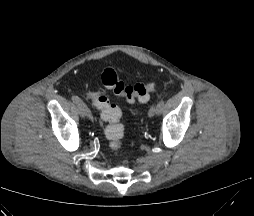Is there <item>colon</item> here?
I'll return each mask as SVG.
<instances>
[{
  "instance_id": "5ec220e1",
  "label": "colon",
  "mask_w": 254,
  "mask_h": 216,
  "mask_svg": "<svg viewBox=\"0 0 254 216\" xmlns=\"http://www.w3.org/2000/svg\"><path fill=\"white\" fill-rule=\"evenodd\" d=\"M101 81L105 88L111 90L116 96L124 98L128 103L135 101L146 102L155 90L154 82L147 80L136 84L127 85L119 77L115 68H107L101 75ZM95 105L101 111V118L107 123L105 135L109 141V148L117 152L122 148L124 127L120 122V108L110 103L107 96L93 92Z\"/></svg>"
}]
</instances>
